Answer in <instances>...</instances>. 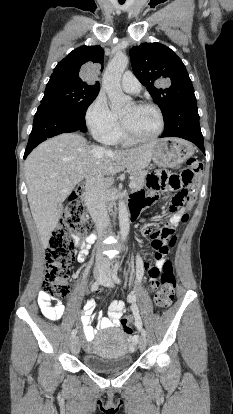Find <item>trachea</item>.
Listing matches in <instances>:
<instances>
[{
	"label": "trachea",
	"instance_id": "3493384b",
	"mask_svg": "<svg viewBox=\"0 0 233 414\" xmlns=\"http://www.w3.org/2000/svg\"><path fill=\"white\" fill-rule=\"evenodd\" d=\"M120 4H124L125 0H118Z\"/></svg>",
	"mask_w": 233,
	"mask_h": 414
}]
</instances>
